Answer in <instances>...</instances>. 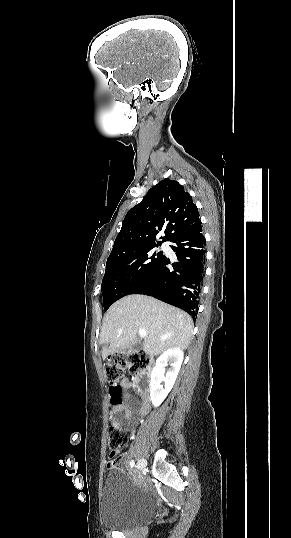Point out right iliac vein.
Wrapping results in <instances>:
<instances>
[{"label":"right iliac vein","mask_w":291,"mask_h":538,"mask_svg":"<svg viewBox=\"0 0 291 538\" xmlns=\"http://www.w3.org/2000/svg\"><path fill=\"white\" fill-rule=\"evenodd\" d=\"M147 465V461L146 459L144 458H141L139 459L138 463H137V466H136V469L133 470V472L137 471V470H143Z\"/></svg>","instance_id":"obj_1"}]
</instances>
